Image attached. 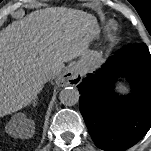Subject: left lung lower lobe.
Here are the masks:
<instances>
[{
    "instance_id": "1",
    "label": "left lung lower lobe",
    "mask_w": 151,
    "mask_h": 151,
    "mask_svg": "<svg viewBox=\"0 0 151 151\" xmlns=\"http://www.w3.org/2000/svg\"><path fill=\"white\" fill-rule=\"evenodd\" d=\"M121 77L132 88L127 96L114 91L115 82ZM77 87L81 114L98 148L126 150L150 129L151 54L146 44L124 46Z\"/></svg>"
}]
</instances>
